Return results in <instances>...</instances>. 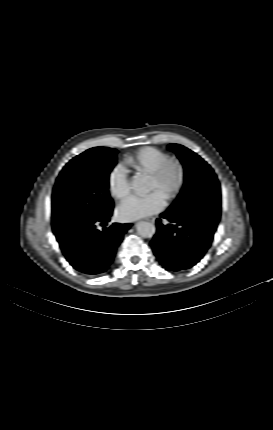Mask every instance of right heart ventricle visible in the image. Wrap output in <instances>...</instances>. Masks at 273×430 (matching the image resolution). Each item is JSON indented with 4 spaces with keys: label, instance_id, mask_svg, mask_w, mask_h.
<instances>
[{
    "label": "right heart ventricle",
    "instance_id": "1",
    "mask_svg": "<svg viewBox=\"0 0 273 430\" xmlns=\"http://www.w3.org/2000/svg\"><path fill=\"white\" fill-rule=\"evenodd\" d=\"M169 159L170 156L165 151L147 146L128 156L125 163L136 172L152 174Z\"/></svg>",
    "mask_w": 273,
    "mask_h": 430
}]
</instances>
